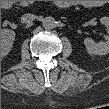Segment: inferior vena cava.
Wrapping results in <instances>:
<instances>
[{"instance_id":"inferior-vena-cava-1","label":"inferior vena cava","mask_w":109,"mask_h":109,"mask_svg":"<svg viewBox=\"0 0 109 109\" xmlns=\"http://www.w3.org/2000/svg\"><path fill=\"white\" fill-rule=\"evenodd\" d=\"M35 19H36V16L33 15V14H24L21 17V22H23V23H30V22H32Z\"/></svg>"}]
</instances>
